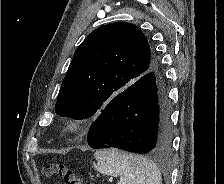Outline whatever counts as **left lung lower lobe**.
Returning a JSON list of instances; mask_svg holds the SVG:
<instances>
[{
	"label": "left lung lower lobe",
	"instance_id": "1",
	"mask_svg": "<svg viewBox=\"0 0 224 184\" xmlns=\"http://www.w3.org/2000/svg\"><path fill=\"white\" fill-rule=\"evenodd\" d=\"M91 148L162 154L171 145L167 90L157 71L140 77L104 107L88 135Z\"/></svg>",
	"mask_w": 224,
	"mask_h": 184
}]
</instances>
